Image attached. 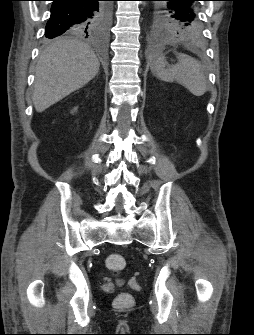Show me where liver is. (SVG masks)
<instances>
[{"label":"liver","mask_w":254,"mask_h":335,"mask_svg":"<svg viewBox=\"0 0 254 335\" xmlns=\"http://www.w3.org/2000/svg\"><path fill=\"white\" fill-rule=\"evenodd\" d=\"M100 63L91 47L77 39L62 38L49 45L36 66L32 100L43 112L91 81Z\"/></svg>","instance_id":"obj_1"}]
</instances>
